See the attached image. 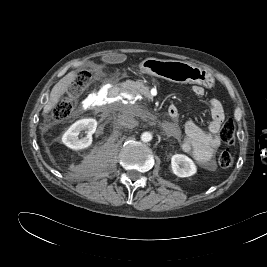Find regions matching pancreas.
<instances>
[{
	"label": "pancreas",
	"instance_id": "obj_1",
	"mask_svg": "<svg viewBox=\"0 0 267 267\" xmlns=\"http://www.w3.org/2000/svg\"><path fill=\"white\" fill-rule=\"evenodd\" d=\"M129 93L132 94H142L145 97H150L149 86L145 85L143 82L136 81L129 83Z\"/></svg>",
	"mask_w": 267,
	"mask_h": 267
}]
</instances>
